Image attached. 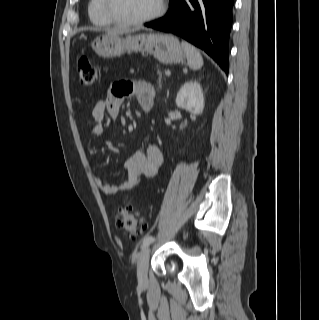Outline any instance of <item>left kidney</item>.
Segmentation results:
<instances>
[{"instance_id": "obj_1", "label": "left kidney", "mask_w": 319, "mask_h": 320, "mask_svg": "<svg viewBox=\"0 0 319 320\" xmlns=\"http://www.w3.org/2000/svg\"><path fill=\"white\" fill-rule=\"evenodd\" d=\"M176 105L194 116L201 114L204 109V96L200 83L197 81L184 83L177 93Z\"/></svg>"}]
</instances>
